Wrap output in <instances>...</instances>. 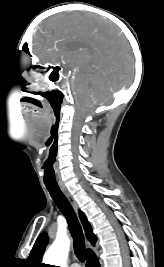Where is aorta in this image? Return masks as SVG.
<instances>
[{
    "label": "aorta",
    "mask_w": 164,
    "mask_h": 267,
    "mask_svg": "<svg viewBox=\"0 0 164 267\" xmlns=\"http://www.w3.org/2000/svg\"><path fill=\"white\" fill-rule=\"evenodd\" d=\"M69 249L70 239L66 236H58L44 254L43 261L49 265L66 267Z\"/></svg>",
    "instance_id": "762f6f07"
}]
</instances>
